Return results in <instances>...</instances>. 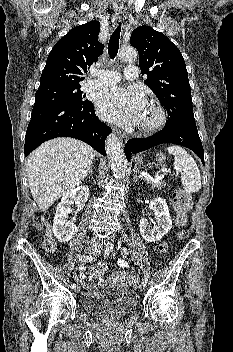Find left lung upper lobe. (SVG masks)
<instances>
[{
	"label": "left lung upper lobe",
	"mask_w": 233,
	"mask_h": 352,
	"mask_svg": "<svg viewBox=\"0 0 233 352\" xmlns=\"http://www.w3.org/2000/svg\"><path fill=\"white\" fill-rule=\"evenodd\" d=\"M130 43L139 52L144 81L168 113L169 125H195L191 88L184 58L163 33L149 26L137 27Z\"/></svg>",
	"instance_id": "1"
}]
</instances>
